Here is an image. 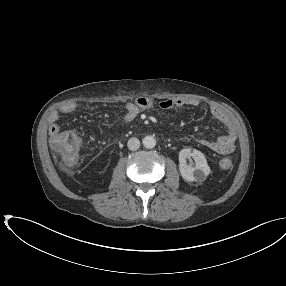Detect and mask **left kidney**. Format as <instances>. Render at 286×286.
Returning <instances> with one entry per match:
<instances>
[{"label": "left kidney", "instance_id": "obj_1", "mask_svg": "<svg viewBox=\"0 0 286 286\" xmlns=\"http://www.w3.org/2000/svg\"><path fill=\"white\" fill-rule=\"evenodd\" d=\"M193 158L195 165L191 162L187 164V159ZM179 170L185 181L202 182L210 174L211 170L208 166L205 155L196 149L185 148L179 152Z\"/></svg>", "mask_w": 286, "mask_h": 286}]
</instances>
